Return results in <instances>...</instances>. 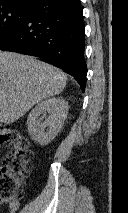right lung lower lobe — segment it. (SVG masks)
Listing matches in <instances>:
<instances>
[{
    "mask_svg": "<svg viewBox=\"0 0 128 213\" xmlns=\"http://www.w3.org/2000/svg\"><path fill=\"white\" fill-rule=\"evenodd\" d=\"M83 9L80 0H39L0 50L46 59L68 71L85 90Z\"/></svg>",
    "mask_w": 128,
    "mask_h": 213,
    "instance_id": "98d812e1",
    "label": "right lung lower lobe"
}]
</instances>
